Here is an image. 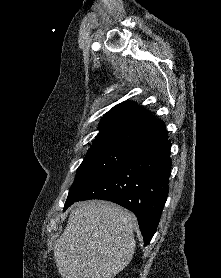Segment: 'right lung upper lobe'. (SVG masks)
<instances>
[{
	"mask_svg": "<svg viewBox=\"0 0 221 278\" xmlns=\"http://www.w3.org/2000/svg\"><path fill=\"white\" fill-rule=\"evenodd\" d=\"M98 129L100 132L93 143L114 140L139 147L168 138L164 123L133 101L113 107L102 118Z\"/></svg>",
	"mask_w": 221,
	"mask_h": 278,
	"instance_id": "obj_1",
	"label": "right lung upper lobe"
}]
</instances>
